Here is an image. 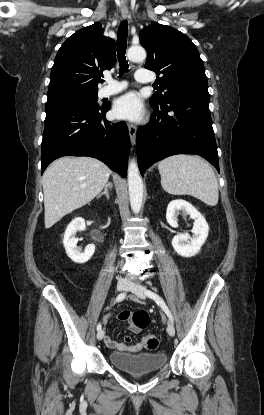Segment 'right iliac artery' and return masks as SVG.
Returning a JSON list of instances; mask_svg holds the SVG:
<instances>
[{
  "instance_id": "right-iliac-artery-1",
  "label": "right iliac artery",
  "mask_w": 264,
  "mask_h": 415,
  "mask_svg": "<svg viewBox=\"0 0 264 415\" xmlns=\"http://www.w3.org/2000/svg\"><path fill=\"white\" fill-rule=\"evenodd\" d=\"M125 296H126V293H125V292L120 293V294L117 296V298H116V302H120V301H122V300L125 298ZM101 328H102L101 323H98V325H97V331L101 330Z\"/></svg>"
}]
</instances>
